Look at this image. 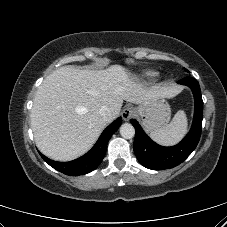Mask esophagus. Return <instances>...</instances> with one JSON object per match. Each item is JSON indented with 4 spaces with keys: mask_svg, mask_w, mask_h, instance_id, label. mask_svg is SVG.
Segmentation results:
<instances>
[{
    "mask_svg": "<svg viewBox=\"0 0 227 227\" xmlns=\"http://www.w3.org/2000/svg\"><path fill=\"white\" fill-rule=\"evenodd\" d=\"M134 115V110L132 107H126L122 112V118L124 121H128Z\"/></svg>",
    "mask_w": 227,
    "mask_h": 227,
    "instance_id": "34e87169",
    "label": "esophagus"
}]
</instances>
